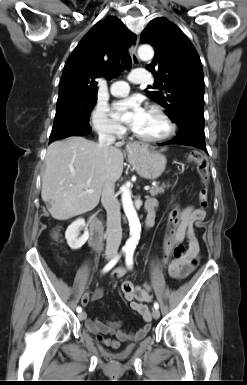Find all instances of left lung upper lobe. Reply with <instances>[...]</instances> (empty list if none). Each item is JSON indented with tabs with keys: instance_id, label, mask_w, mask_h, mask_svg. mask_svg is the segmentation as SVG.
Masks as SVG:
<instances>
[{
	"instance_id": "1",
	"label": "left lung upper lobe",
	"mask_w": 247,
	"mask_h": 385,
	"mask_svg": "<svg viewBox=\"0 0 247 385\" xmlns=\"http://www.w3.org/2000/svg\"><path fill=\"white\" fill-rule=\"evenodd\" d=\"M141 42L155 49L146 69L156 76L154 88L148 92L178 123L183 117L204 115V76L200 57L177 25L165 17L152 20L141 34ZM157 70V72H155Z\"/></svg>"
}]
</instances>
